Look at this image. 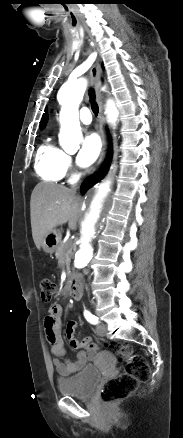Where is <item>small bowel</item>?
I'll use <instances>...</instances> for the list:
<instances>
[{"label": "small bowel", "mask_w": 183, "mask_h": 438, "mask_svg": "<svg viewBox=\"0 0 183 438\" xmlns=\"http://www.w3.org/2000/svg\"><path fill=\"white\" fill-rule=\"evenodd\" d=\"M61 318L62 307L59 304L51 305L45 318V333L51 346V354L54 356L53 365L56 371L62 376H68L77 373L89 363L95 357L98 346L89 338L77 340V323L74 320L68 321L65 328L66 338L72 348L79 350L74 361L68 359L61 335Z\"/></svg>", "instance_id": "small-bowel-1"}]
</instances>
